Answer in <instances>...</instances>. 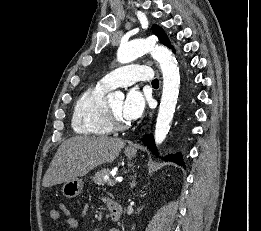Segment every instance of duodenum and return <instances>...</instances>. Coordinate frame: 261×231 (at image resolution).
<instances>
[{
	"label": "duodenum",
	"mask_w": 261,
	"mask_h": 231,
	"mask_svg": "<svg viewBox=\"0 0 261 231\" xmlns=\"http://www.w3.org/2000/svg\"><path fill=\"white\" fill-rule=\"evenodd\" d=\"M110 216L113 220H118L122 213V205L118 202L110 201L107 204Z\"/></svg>",
	"instance_id": "1"
}]
</instances>
